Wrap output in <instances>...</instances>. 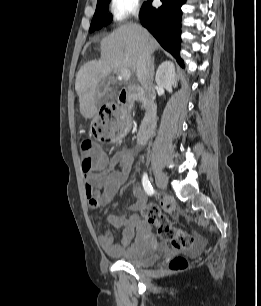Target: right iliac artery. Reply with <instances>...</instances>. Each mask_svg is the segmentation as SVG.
<instances>
[{"mask_svg":"<svg viewBox=\"0 0 261 306\" xmlns=\"http://www.w3.org/2000/svg\"><path fill=\"white\" fill-rule=\"evenodd\" d=\"M142 184H143V188L145 190V192L148 194V195H152L154 193V190L150 184V181L148 179V176L146 173H144L143 177H142Z\"/></svg>","mask_w":261,"mask_h":306,"instance_id":"right-iliac-artery-1","label":"right iliac artery"}]
</instances>
